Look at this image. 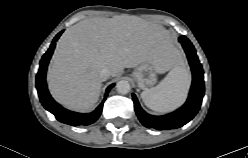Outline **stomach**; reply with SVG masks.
<instances>
[{
    "label": "stomach",
    "mask_w": 248,
    "mask_h": 158,
    "mask_svg": "<svg viewBox=\"0 0 248 158\" xmlns=\"http://www.w3.org/2000/svg\"><path fill=\"white\" fill-rule=\"evenodd\" d=\"M176 64L173 62L171 56L166 57L161 63V69L165 72L174 67ZM157 68L149 63L145 62L140 64L133 72L132 76L138 86L143 90H148L150 87L154 86L157 82Z\"/></svg>",
    "instance_id": "0dacf381"
}]
</instances>
